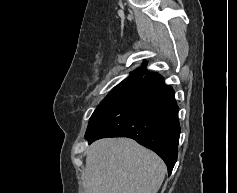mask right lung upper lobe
I'll use <instances>...</instances> for the list:
<instances>
[{
    "mask_svg": "<svg viewBox=\"0 0 237 193\" xmlns=\"http://www.w3.org/2000/svg\"><path fill=\"white\" fill-rule=\"evenodd\" d=\"M144 65L146 66L147 65V61L146 60H144ZM142 67V68H140V69H138L137 71H145L146 70V67Z\"/></svg>",
    "mask_w": 237,
    "mask_h": 193,
    "instance_id": "cb5924a9",
    "label": "right lung upper lobe"
}]
</instances>
